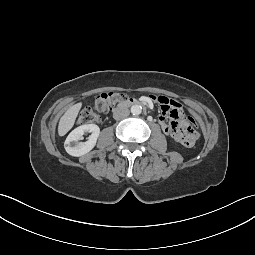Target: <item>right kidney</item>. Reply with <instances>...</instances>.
I'll use <instances>...</instances> for the list:
<instances>
[{
    "instance_id": "1",
    "label": "right kidney",
    "mask_w": 255,
    "mask_h": 255,
    "mask_svg": "<svg viewBox=\"0 0 255 255\" xmlns=\"http://www.w3.org/2000/svg\"><path fill=\"white\" fill-rule=\"evenodd\" d=\"M85 132L91 133L86 142H79ZM100 134V128L95 124L81 125L74 129L66 138L64 147L66 152L75 157L82 156L90 152L96 145Z\"/></svg>"
}]
</instances>
